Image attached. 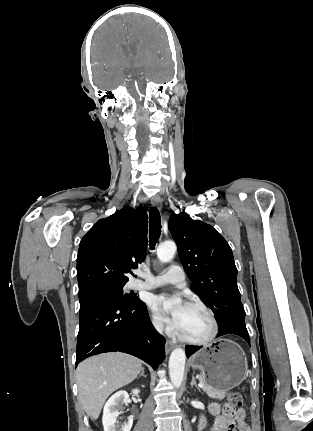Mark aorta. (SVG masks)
<instances>
[{
	"label": "aorta",
	"mask_w": 313,
	"mask_h": 431,
	"mask_svg": "<svg viewBox=\"0 0 313 431\" xmlns=\"http://www.w3.org/2000/svg\"><path fill=\"white\" fill-rule=\"evenodd\" d=\"M176 249V244L174 242H164L157 248V257L162 263H167L174 257ZM185 360L186 355L181 348L174 349L169 358L170 380L176 388L180 387L183 380Z\"/></svg>",
	"instance_id": "1"
}]
</instances>
